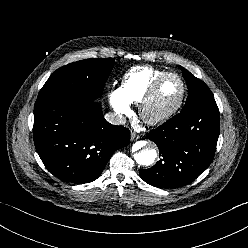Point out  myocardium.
<instances>
[{"label": "myocardium", "instance_id": "obj_1", "mask_svg": "<svg viewBox=\"0 0 248 248\" xmlns=\"http://www.w3.org/2000/svg\"><path fill=\"white\" fill-rule=\"evenodd\" d=\"M170 76H174L178 78V80L181 83L180 97L173 105L167 108L158 109L155 106V100H156L157 93L163 81ZM186 92H187L186 83L184 79L178 73L166 72L162 74L160 77H158L154 81L149 91L147 92L145 98L141 102L140 115L142 119L150 125H156V124L166 121L181 108L185 100V97H186Z\"/></svg>", "mask_w": 248, "mask_h": 248}]
</instances>
